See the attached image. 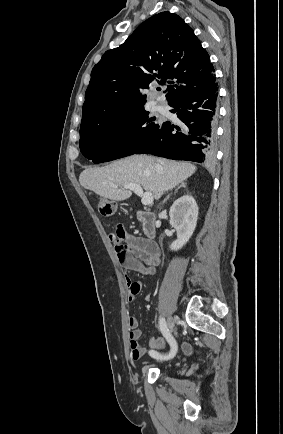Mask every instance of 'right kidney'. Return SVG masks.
Listing matches in <instances>:
<instances>
[{
  "instance_id": "right-kidney-1",
  "label": "right kidney",
  "mask_w": 283,
  "mask_h": 434,
  "mask_svg": "<svg viewBox=\"0 0 283 434\" xmlns=\"http://www.w3.org/2000/svg\"><path fill=\"white\" fill-rule=\"evenodd\" d=\"M169 215L170 224L177 232V240L170 249L177 251L188 242L196 228L198 206L195 199L190 195L178 198L171 206Z\"/></svg>"
}]
</instances>
